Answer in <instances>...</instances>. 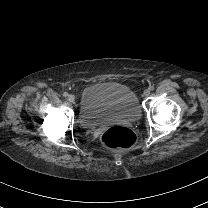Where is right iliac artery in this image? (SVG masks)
<instances>
[{
  "label": "right iliac artery",
  "instance_id": "1",
  "mask_svg": "<svg viewBox=\"0 0 208 208\" xmlns=\"http://www.w3.org/2000/svg\"><path fill=\"white\" fill-rule=\"evenodd\" d=\"M63 96H64V97H67V96H68V93H67V92H64V93H63Z\"/></svg>",
  "mask_w": 208,
  "mask_h": 208
}]
</instances>
